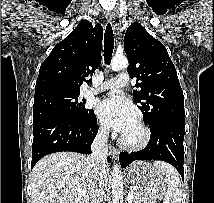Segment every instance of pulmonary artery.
Wrapping results in <instances>:
<instances>
[{"instance_id": "obj_1", "label": "pulmonary artery", "mask_w": 214, "mask_h": 203, "mask_svg": "<svg viewBox=\"0 0 214 203\" xmlns=\"http://www.w3.org/2000/svg\"><path fill=\"white\" fill-rule=\"evenodd\" d=\"M129 83V76L126 73H121L115 78L104 81L98 88L89 89L90 93H98L109 89H118L126 86Z\"/></svg>"}]
</instances>
